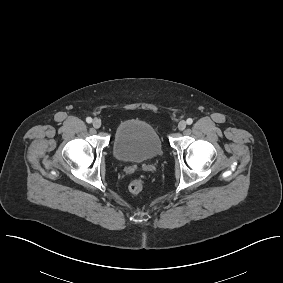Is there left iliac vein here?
<instances>
[{
	"label": "left iliac vein",
	"mask_w": 283,
	"mask_h": 283,
	"mask_svg": "<svg viewBox=\"0 0 283 283\" xmlns=\"http://www.w3.org/2000/svg\"><path fill=\"white\" fill-rule=\"evenodd\" d=\"M186 126H187V122L186 121H184V120H181L179 123H178V129L179 130H184L185 128H186Z\"/></svg>",
	"instance_id": "1"
}]
</instances>
